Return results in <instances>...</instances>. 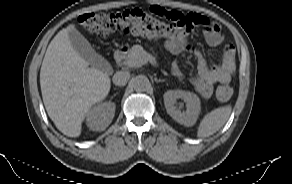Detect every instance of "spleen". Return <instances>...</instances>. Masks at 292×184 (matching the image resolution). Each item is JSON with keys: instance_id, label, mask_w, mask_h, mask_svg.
Listing matches in <instances>:
<instances>
[{"instance_id": "3e777b00", "label": "spleen", "mask_w": 292, "mask_h": 184, "mask_svg": "<svg viewBox=\"0 0 292 184\" xmlns=\"http://www.w3.org/2000/svg\"><path fill=\"white\" fill-rule=\"evenodd\" d=\"M231 111L232 107L227 105L206 114L199 123L197 137L206 138L216 133L226 123Z\"/></svg>"}]
</instances>
